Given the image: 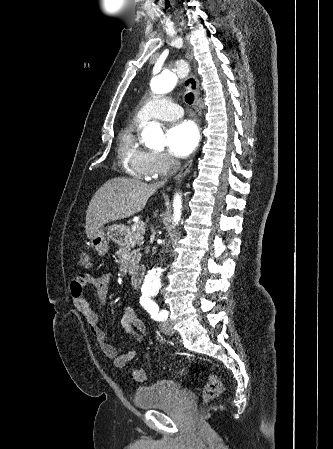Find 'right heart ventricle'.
<instances>
[{"mask_svg":"<svg viewBox=\"0 0 333 449\" xmlns=\"http://www.w3.org/2000/svg\"><path fill=\"white\" fill-rule=\"evenodd\" d=\"M139 128L140 122L135 121L120 132L118 153L135 177L148 178L145 165L147 152L140 147Z\"/></svg>","mask_w":333,"mask_h":449,"instance_id":"1","label":"right heart ventricle"}]
</instances>
